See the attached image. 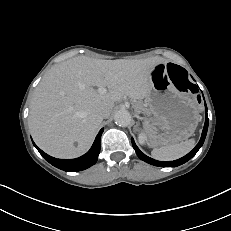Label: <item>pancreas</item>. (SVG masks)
<instances>
[{
	"label": "pancreas",
	"mask_w": 231,
	"mask_h": 231,
	"mask_svg": "<svg viewBox=\"0 0 231 231\" xmlns=\"http://www.w3.org/2000/svg\"><path fill=\"white\" fill-rule=\"evenodd\" d=\"M137 108H138V110H140V111L143 110L141 106H138Z\"/></svg>",
	"instance_id": "obj_1"
}]
</instances>
